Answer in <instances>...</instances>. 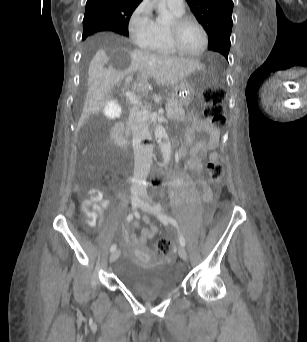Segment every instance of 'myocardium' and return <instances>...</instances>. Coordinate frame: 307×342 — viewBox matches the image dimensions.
<instances>
[{
  "mask_svg": "<svg viewBox=\"0 0 307 342\" xmlns=\"http://www.w3.org/2000/svg\"><path fill=\"white\" fill-rule=\"evenodd\" d=\"M189 22L197 23L201 27L203 34H204L203 47L201 48L200 51L196 53L186 52L179 43V33L181 29ZM164 36H165L166 44L172 50L173 53L178 54L180 56L187 57V58H192V59L202 57L206 53L210 45L209 30L205 22L201 20L199 17L195 15H190V14L176 16L170 22V24L165 28Z\"/></svg>",
  "mask_w": 307,
  "mask_h": 342,
  "instance_id": "obj_1",
  "label": "myocardium"
}]
</instances>
